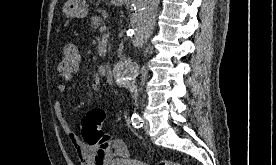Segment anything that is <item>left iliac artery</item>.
Returning <instances> with one entry per match:
<instances>
[{
    "instance_id": "obj_1",
    "label": "left iliac artery",
    "mask_w": 276,
    "mask_h": 165,
    "mask_svg": "<svg viewBox=\"0 0 276 165\" xmlns=\"http://www.w3.org/2000/svg\"><path fill=\"white\" fill-rule=\"evenodd\" d=\"M131 122L135 128H141L143 126V120L137 113H133L131 117Z\"/></svg>"
}]
</instances>
